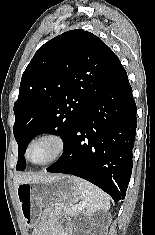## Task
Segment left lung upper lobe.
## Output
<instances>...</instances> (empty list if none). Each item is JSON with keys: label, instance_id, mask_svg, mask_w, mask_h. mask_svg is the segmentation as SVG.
<instances>
[{"label": "left lung upper lobe", "instance_id": "5c2ea615", "mask_svg": "<svg viewBox=\"0 0 155 235\" xmlns=\"http://www.w3.org/2000/svg\"><path fill=\"white\" fill-rule=\"evenodd\" d=\"M118 62L100 38L81 29L58 35L37 50L22 75L14 104L16 170L25 169L23 154L38 134H59L66 145L88 104Z\"/></svg>", "mask_w": 155, "mask_h": 235}]
</instances>
